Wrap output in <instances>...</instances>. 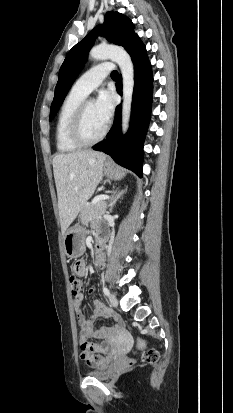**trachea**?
Listing matches in <instances>:
<instances>
[{
    "label": "trachea",
    "instance_id": "3493384b",
    "mask_svg": "<svg viewBox=\"0 0 233 413\" xmlns=\"http://www.w3.org/2000/svg\"><path fill=\"white\" fill-rule=\"evenodd\" d=\"M117 76H118V72L116 70L112 71L111 77H117Z\"/></svg>",
    "mask_w": 233,
    "mask_h": 413
}]
</instances>
